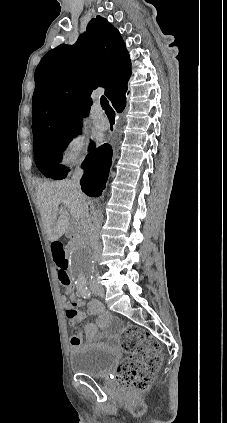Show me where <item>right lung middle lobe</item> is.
I'll use <instances>...</instances> for the list:
<instances>
[{
	"label": "right lung middle lobe",
	"instance_id": "obj_1",
	"mask_svg": "<svg viewBox=\"0 0 227 423\" xmlns=\"http://www.w3.org/2000/svg\"><path fill=\"white\" fill-rule=\"evenodd\" d=\"M77 133L54 135L33 140L35 163L40 172L47 178L64 179L68 169L59 165L62 154Z\"/></svg>",
	"mask_w": 227,
	"mask_h": 423
}]
</instances>
